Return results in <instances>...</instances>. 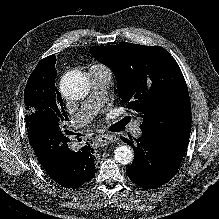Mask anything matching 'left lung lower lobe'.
Instances as JSON below:
<instances>
[{
	"mask_svg": "<svg viewBox=\"0 0 219 219\" xmlns=\"http://www.w3.org/2000/svg\"><path fill=\"white\" fill-rule=\"evenodd\" d=\"M123 138L133 147L135 157L127 169L129 178L146 189H155L164 185L178 171L188 147L189 138L173 139L156 132H143L134 139Z\"/></svg>",
	"mask_w": 219,
	"mask_h": 219,
	"instance_id": "0a47b994",
	"label": "left lung lower lobe"
}]
</instances>
